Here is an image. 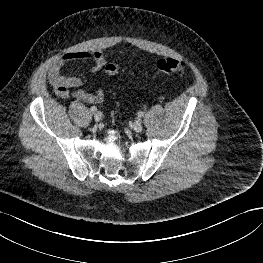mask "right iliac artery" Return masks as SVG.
Here are the masks:
<instances>
[{"instance_id":"82829eb1","label":"right iliac artery","mask_w":263,"mask_h":263,"mask_svg":"<svg viewBox=\"0 0 263 263\" xmlns=\"http://www.w3.org/2000/svg\"><path fill=\"white\" fill-rule=\"evenodd\" d=\"M91 111H92V112L97 111V107H96V106H92V107H91Z\"/></svg>"}]
</instances>
